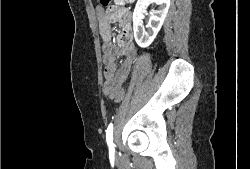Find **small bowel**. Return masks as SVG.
Listing matches in <instances>:
<instances>
[{
    "label": "small bowel",
    "mask_w": 250,
    "mask_h": 169,
    "mask_svg": "<svg viewBox=\"0 0 250 169\" xmlns=\"http://www.w3.org/2000/svg\"><path fill=\"white\" fill-rule=\"evenodd\" d=\"M122 19H125V13L123 10L117 11ZM111 13H108L100 23V34L103 40V63L104 67V85L103 92L107 96L110 91H116L119 88V83H126L134 60L137 56V49L133 43H124L120 48L111 44V33L109 28V21L111 19ZM125 27V36L128 37V24L126 21H122ZM124 57V61L120 67L117 65V59Z\"/></svg>",
    "instance_id": "small-bowel-1"
}]
</instances>
